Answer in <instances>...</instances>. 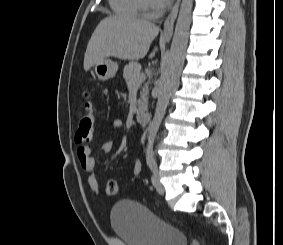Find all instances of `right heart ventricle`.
<instances>
[{
	"label": "right heart ventricle",
	"mask_w": 283,
	"mask_h": 245,
	"mask_svg": "<svg viewBox=\"0 0 283 245\" xmlns=\"http://www.w3.org/2000/svg\"><path fill=\"white\" fill-rule=\"evenodd\" d=\"M112 10L124 16H138L140 14L139 0H109Z\"/></svg>",
	"instance_id": "e07e8e85"
}]
</instances>
